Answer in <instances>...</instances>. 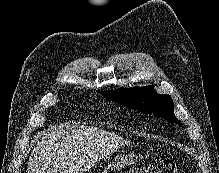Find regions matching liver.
<instances>
[{
  "instance_id": "obj_1",
  "label": "liver",
  "mask_w": 219,
  "mask_h": 173,
  "mask_svg": "<svg viewBox=\"0 0 219 173\" xmlns=\"http://www.w3.org/2000/svg\"><path fill=\"white\" fill-rule=\"evenodd\" d=\"M128 144V140L97 128L61 124L43 131L32 150L27 173H85Z\"/></svg>"
}]
</instances>
